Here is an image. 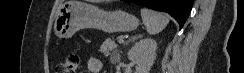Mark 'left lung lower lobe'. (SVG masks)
Here are the masks:
<instances>
[{"instance_id":"left-lung-lower-lobe-1","label":"left lung lower lobe","mask_w":244,"mask_h":73,"mask_svg":"<svg viewBox=\"0 0 244 73\" xmlns=\"http://www.w3.org/2000/svg\"><path fill=\"white\" fill-rule=\"evenodd\" d=\"M153 10L169 13L180 27L186 22L194 0H125Z\"/></svg>"}]
</instances>
